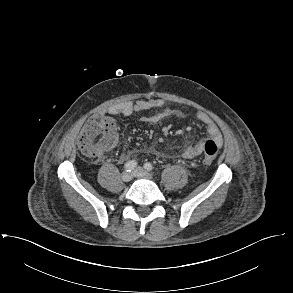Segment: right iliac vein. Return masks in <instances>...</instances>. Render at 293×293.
Returning <instances> with one entry per match:
<instances>
[{"label":"right iliac vein","instance_id":"right-iliac-vein-1","mask_svg":"<svg viewBox=\"0 0 293 293\" xmlns=\"http://www.w3.org/2000/svg\"><path fill=\"white\" fill-rule=\"evenodd\" d=\"M132 178H133V174H132L131 172H124V173L122 174V180H123L124 182H129V181L132 180Z\"/></svg>","mask_w":293,"mask_h":293}]
</instances>
